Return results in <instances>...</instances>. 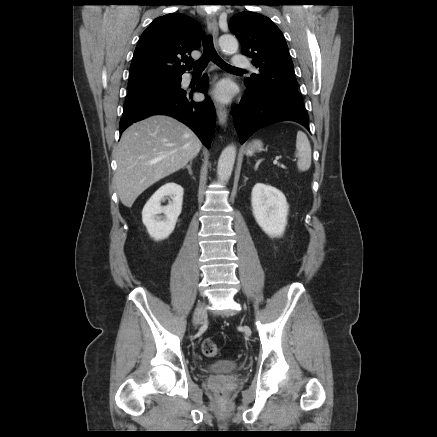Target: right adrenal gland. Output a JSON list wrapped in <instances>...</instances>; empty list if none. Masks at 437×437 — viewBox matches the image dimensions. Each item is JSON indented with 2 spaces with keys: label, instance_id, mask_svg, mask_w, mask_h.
I'll return each mask as SVG.
<instances>
[{
  "label": "right adrenal gland",
  "instance_id": "1",
  "mask_svg": "<svg viewBox=\"0 0 437 437\" xmlns=\"http://www.w3.org/2000/svg\"><path fill=\"white\" fill-rule=\"evenodd\" d=\"M192 161H190V163L186 166V168L188 169V172H189V174L190 175H193V172H192Z\"/></svg>",
  "mask_w": 437,
  "mask_h": 437
}]
</instances>
